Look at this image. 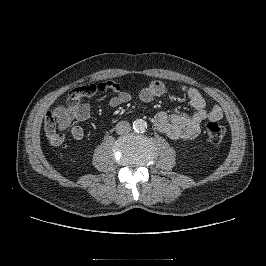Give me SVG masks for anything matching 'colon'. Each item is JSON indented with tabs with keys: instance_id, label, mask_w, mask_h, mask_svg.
Here are the masks:
<instances>
[{
	"instance_id": "colon-1",
	"label": "colon",
	"mask_w": 266,
	"mask_h": 266,
	"mask_svg": "<svg viewBox=\"0 0 266 266\" xmlns=\"http://www.w3.org/2000/svg\"><path fill=\"white\" fill-rule=\"evenodd\" d=\"M119 86L112 81H102L99 83H91L78 87L70 92L69 97L75 98L76 96L82 98L92 97L94 95L104 93L107 91H116ZM47 120L52 121V116L49 113ZM226 130L225 127L218 122L211 121L206 126L207 141L211 144H219L224 139Z\"/></svg>"
}]
</instances>
